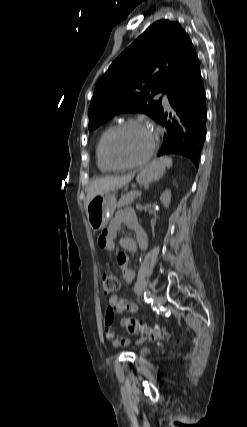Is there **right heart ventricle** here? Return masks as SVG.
Returning a JSON list of instances; mask_svg holds the SVG:
<instances>
[{
  "instance_id": "right-heart-ventricle-1",
  "label": "right heart ventricle",
  "mask_w": 247,
  "mask_h": 427,
  "mask_svg": "<svg viewBox=\"0 0 247 427\" xmlns=\"http://www.w3.org/2000/svg\"><path fill=\"white\" fill-rule=\"evenodd\" d=\"M113 127L114 126H109L106 129H104L100 134L95 145V158H96L97 167L101 172H104V173L115 171V169L112 168L107 163L103 153V145H104L105 138L107 137L108 133L112 130Z\"/></svg>"
}]
</instances>
